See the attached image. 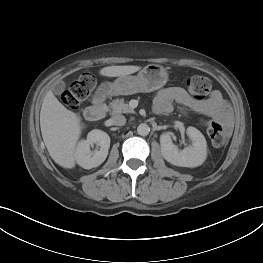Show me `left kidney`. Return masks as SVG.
<instances>
[{"instance_id": "1", "label": "left kidney", "mask_w": 263, "mask_h": 263, "mask_svg": "<svg viewBox=\"0 0 263 263\" xmlns=\"http://www.w3.org/2000/svg\"><path fill=\"white\" fill-rule=\"evenodd\" d=\"M192 145L179 150L172 142L170 133L160 136L161 152L166 161L181 167H197L203 164L207 156V142L203 134L195 127L186 131Z\"/></svg>"}]
</instances>
